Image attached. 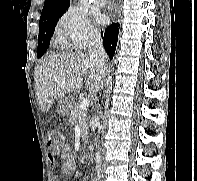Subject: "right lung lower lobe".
I'll return each instance as SVG.
<instances>
[{
  "label": "right lung lower lobe",
  "mask_w": 197,
  "mask_h": 181,
  "mask_svg": "<svg viewBox=\"0 0 197 181\" xmlns=\"http://www.w3.org/2000/svg\"><path fill=\"white\" fill-rule=\"evenodd\" d=\"M118 32H119L118 23H112V25L107 27L104 35L103 32H101L104 48L111 59L113 58L115 53L117 40H118Z\"/></svg>",
  "instance_id": "right-lung-lower-lobe-1"
}]
</instances>
